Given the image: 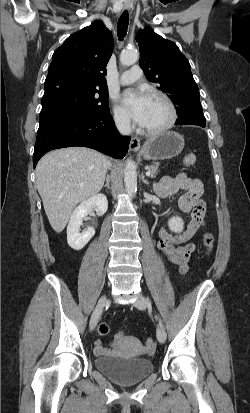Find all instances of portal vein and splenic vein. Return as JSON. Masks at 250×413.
I'll return each mask as SVG.
<instances>
[{
  "instance_id": "obj_1",
  "label": "portal vein and splenic vein",
  "mask_w": 250,
  "mask_h": 413,
  "mask_svg": "<svg viewBox=\"0 0 250 413\" xmlns=\"http://www.w3.org/2000/svg\"><path fill=\"white\" fill-rule=\"evenodd\" d=\"M151 172L149 170H147L146 175L150 176Z\"/></svg>"
}]
</instances>
